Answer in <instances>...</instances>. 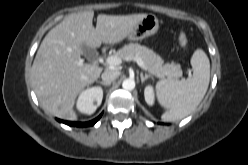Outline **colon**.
<instances>
[{
	"mask_svg": "<svg viewBox=\"0 0 248 165\" xmlns=\"http://www.w3.org/2000/svg\"><path fill=\"white\" fill-rule=\"evenodd\" d=\"M178 42H179V45L181 47H183V48L186 47L188 44L187 36L184 33H180V35L178 37Z\"/></svg>",
	"mask_w": 248,
	"mask_h": 165,
	"instance_id": "obj_1",
	"label": "colon"
}]
</instances>
